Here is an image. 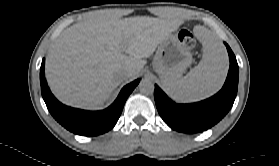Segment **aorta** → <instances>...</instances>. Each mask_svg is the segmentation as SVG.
Returning a JSON list of instances; mask_svg holds the SVG:
<instances>
[{
	"label": "aorta",
	"instance_id": "762f6f07",
	"mask_svg": "<svg viewBox=\"0 0 279 166\" xmlns=\"http://www.w3.org/2000/svg\"><path fill=\"white\" fill-rule=\"evenodd\" d=\"M139 90L142 94H152L154 91V84L149 79H143L139 84Z\"/></svg>",
	"mask_w": 279,
	"mask_h": 166
}]
</instances>
